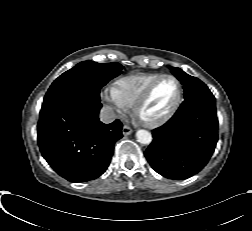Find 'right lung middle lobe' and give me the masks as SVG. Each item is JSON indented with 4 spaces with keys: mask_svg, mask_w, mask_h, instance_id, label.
I'll list each match as a JSON object with an SVG mask.
<instances>
[{
    "mask_svg": "<svg viewBox=\"0 0 252 231\" xmlns=\"http://www.w3.org/2000/svg\"><path fill=\"white\" fill-rule=\"evenodd\" d=\"M122 69L123 66L119 63L83 61L52 83L44 97L43 105L64 97H84L100 101V89L118 76Z\"/></svg>",
    "mask_w": 252,
    "mask_h": 231,
    "instance_id": "right-lung-middle-lobe-1",
    "label": "right lung middle lobe"
}]
</instances>
